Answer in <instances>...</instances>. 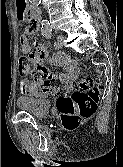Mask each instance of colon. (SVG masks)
Here are the masks:
<instances>
[{
	"mask_svg": "<svg viewBox=\"0 0 123 167\" xmlns=\"http://www.w3.org/2000/svg\"><path fill=\"white\" fill-rule=\"evenodd\" d=\"M63 54L57 55L58 62H64ZM20 73L31 67L29 57L21 56L18 61ZM34 84L42 93H51L57 96V108L62 116L65 128L77 127L83 119L91 117L97 108L101 85L92 77H82L74 81L76 89L67 93L61 85L51 81V75L42 67L33 72Z\"/></svg>",
	"mask_w": 123,
	"mask_h": 167,
	"instance_id": "obj_1",
	"label": "colon"
}]
</instances>
